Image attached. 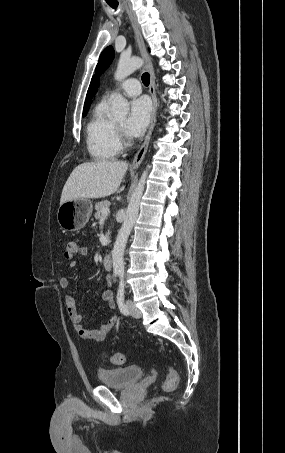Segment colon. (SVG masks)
I'll return each mask as SVG.
<instances>
[{
  "label": "colon",
  "instance_id": "obj_1",
  "mask_svg": "<svg viewBox=\"0 0 285 453\" xmlns=\"http://www.w3.org/2000/svg\"><path fill=\"white\" fill-rule=\"evenodd\" d=\"M63 248H64V258L68 261L73 260L78 254L80 250V246L76 240L73 238H65L63 240ZM124 355L120 352H116L109 356V361L114 365H121L124 363ZM179 382V376L175 369L168 368L167 376L165 382L163 383V390L166 392L174 390Z\"/></svg>",
  "mask_w": 285,
  "mask_h": 453
}]
</instances>
